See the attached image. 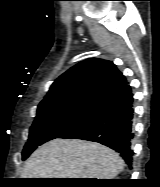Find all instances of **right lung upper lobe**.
Returning <instances> with one entry per match:
<instances>
[{"instance_id":"obj_1","label":"right lung upper lobe","mask_w":160,"mask_h":187,"mask_svg":"<svg viewBox=\"0 0 160 187\" xmlns=\"http://www.w3.org/2000/svg\"><path fill=\"white\" fill-rule=\"evenodd\" d=\"M126 84L125 77L112 62L86 59L55 80L38 108L74 101L98 102Z\"/></svg>"}]
</instances>
